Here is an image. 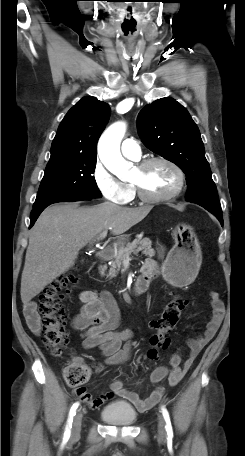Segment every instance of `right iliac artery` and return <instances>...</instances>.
Masks as SVG:
<instances>
[{"mask_svg":"<svg viewBox=\"0 0 245 456\" xmlns=\"http://www.w3.org/2000/svg\"><path fill=\"white\" fill-rule=\"evenodd\" d=\"M78 406H79V403L76 402L72 405V407L70 409L65 432H64V440H68L70 438V433H71L70 428L72 426L73 417L76 414V410H77Z\"/></svg>","mask_w":245,"mask_h":456,"instance_id":"right-iliac-artery-1","label":"right iliac artery"}]
</instances>
